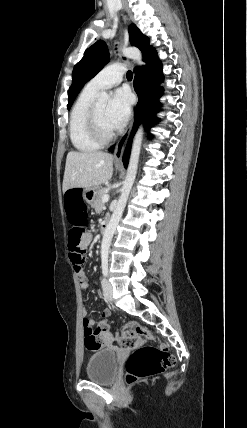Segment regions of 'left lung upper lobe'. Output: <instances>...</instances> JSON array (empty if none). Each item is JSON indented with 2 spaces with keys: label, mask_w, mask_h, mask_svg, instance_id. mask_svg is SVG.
I'll return each mask as SVG.
<instances>
[{
  "label": "left lung upper lobe",
  "mask_w": 247,
  "mask_h": 428,
  "mask_svg": "<svg viewBox=\"0 0 247 428\" xmlns=\"http://www.w3.org/2000/svg\"><path fill=\"white\" fill-rule=\"evenodd\" d=\"M130 43L138 47L143 54L144 61L156 53L150 46L149 39L143 35L136 25L129 27ZM109 61V52L104 41L99 40L90 46L84 53L83 58L75 65L72 77V85L68 92V110H70L76 96L82 87L92 79Z\"/></svg>",
  "instance_id": "left-lung-upper-lobe-1"
}]
</instances>
